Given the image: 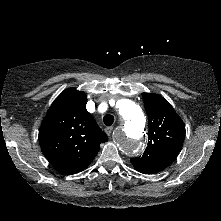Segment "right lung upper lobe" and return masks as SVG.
<instances>
[{
  "mask_svg": "<svg viewBox=\"0 0 221 221\" xmlns=\"http://www.w3.org/2000/svg\"><path fill=\"white\" fill-rule=\"evenodd\" d=\"M87 96L74 88L64 90L52 103L39 130L46 159L64 173L85 169L108 141L86 110Z\"/></svg>",
  "mask_w": 221,
  "mask_h": 221,
  "instance_id": "1",
  "label": "right lung upper lobe"
}]
</instances>
